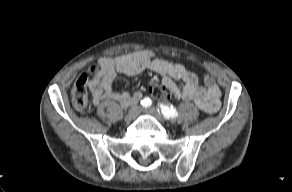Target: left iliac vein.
I'll list each match as a JSON object with an SVG mask.
<instances>
[{"label": "left iliac vein", "mask_w": 292, "mask_h": 192, "mask_svg": "<svg viewBox=\"0 0 292 192\" xmlns=\"http://www.w3.org/2000/svg\"><path fill=\"white\" fill-rule=\"evenodd\" d=\"M145 112L152 115L153 117H155L159 122L164 123L165 122V118L163 117L162 113L159 111V109L157 108H147L145 109Z\"/></svg>", "instance_id": "4c4485c4"}]
</instances>
